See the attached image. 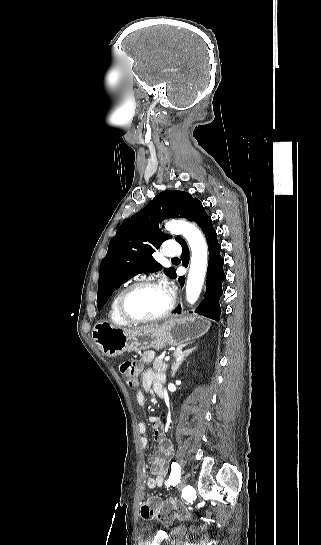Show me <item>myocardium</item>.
<instances>
[{
	"label": "myocardium",
	"instance_id": "f54148a6",
	"mask_svg": "<svg viewBox=\"0 0 321 545\" xmlns=\"http://www.w3.org/2000/svg\"><path fill=\"white\" fill-rule=\"evenodd\" d=\"M142 288H150V289H165L166 288L157 281L154 280H145V281H139L135 282L133 284H130L129 286L125 287L119 294L117 299V312L121 320L126 323L129 326H140L145 324H151L155 322H159L161 320H164L174 309L175 307V299L173 293L170 294V304L169 307L161 314L144 318V319H133L131 318L125 311L124 303L125 299L131 292L142 289Z\"/></svg>",
	"mask_w": 321,
	"mask_h": 545
}]
</instances>
